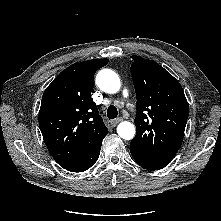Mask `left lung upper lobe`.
Wrapping results in <instances>:
<instances>
[{"instance_id": "obj_1", "label": "left lung upper lobe", "mask_w": 221, "mask_h": 221, "mask_svg": "<svg viewBox=\"0 0 221 221\" xmlns=\"http://www.w3.org/2000/svg\"><path fill=\"white\" fill-rule=\"evenodd\" d=\"M137 133L130 151L138 159L167 165L180 148L189 107L180 83L153 60L132 56Z\"/></svg>"}]
</instances>
